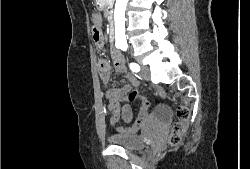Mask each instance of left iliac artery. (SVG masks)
Returning <instances> with one entry per match:
<instances>
[{
  "label": "left iliac artery",
  "mask_w": 250,
  "mask_h": 169,
  "mask_svg": "<svg viewBox=\"0 0 250 169\" xmlns=\"http://www.w3.org/2000/svg\"><path fill=\"white\" fill-rule=\"evenodd\" d=\"M130 69L133 72H139L140 71V66L137 63H130Z\"/></svg>",
  "instance_id": "left-iliac-artery-1"
}]
</instances>
